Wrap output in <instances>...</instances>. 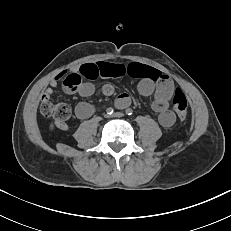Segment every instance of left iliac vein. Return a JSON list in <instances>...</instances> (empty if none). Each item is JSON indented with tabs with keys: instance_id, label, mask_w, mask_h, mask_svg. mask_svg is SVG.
I'll use <instances>...</instances> for the list:
<instances>
[{
	"instance_id": "1",
	"label": "left iliac vein",
	"mask_w": 231,
	"mask_h": 231,
	"mask_svg": "<svg viewBox=\"0 0 231 231\" xmlns=\"http://www.w3.org/2000/svg\"><path fill=\"white\" fill-rule=\"evenodd\" d=\"M123 116H124L123 113H120V112H116L113 114V117H117V118H121Z\"/></svg>"
}]
</instances>
